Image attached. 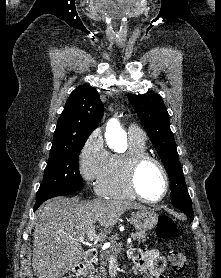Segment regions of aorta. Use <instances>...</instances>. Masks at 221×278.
Returning <instances> with one entry per match:
<instances>
[{
    "instance_id": "762f6f07",
    "label": "aorta",
    "mask_w": 221,
    "mask_h": 278,
    "mask_svg": "<svg viewBox=\"0 0 221 278\" xmlns=\"http://www.w3.org/2000/svg\"><path fill=\"white\" fill-rule=\"evenodd\" d=\"M105 138L110 148H115L119 143L126 142V133L117 119H111L107 123Z\"/></svg>"
}]
</instances>
